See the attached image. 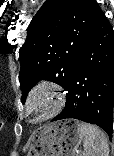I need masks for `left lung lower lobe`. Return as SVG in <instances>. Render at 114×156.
I'll use <instances>...</instances> for the list:
<instances>
[{"label":"left lung lower lobe","mask_w":114,"mask_h":156,"mask_svg":"<svg viewBox=\"0 0 114 156\" xmlns=\"http://www.w3.org/2000/svg\"><path fill=\"white\" fill-rule=\"evenodd\" d=\"M67 91L66 106L52 121L74 118L112 135L114 31L101 9L80 50Z\"/></svg>","instance_id":"0a47b994"}]
</instances>
